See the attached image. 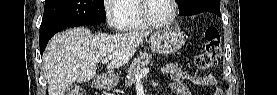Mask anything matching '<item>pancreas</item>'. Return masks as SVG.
Segmentation results:
<instances>
[{
  "label": "pancreas",
  "instance_id": "cf45deb5",
  "mask_svg": "<svg viewBox=\"0 0 277 95\" xmlns=\"http://www.w3.org/2000/svg\"><path fill=\"white\" fill-rule=\"evenodd\" d=\"M152 60V55L148 53H142L140 56L134 59L130 68L127 71V76L125 78L126 87H131L132 84L136 81L135 75L140 73L141 70L146 68Z\"/></svg>",
  "mask_w": 277,
  "mask_h": 95
}]
</instances>
